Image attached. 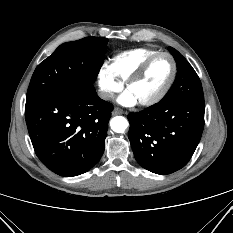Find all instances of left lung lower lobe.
<instances>
[{
    "label": "left lung lower lobe",
    "instance_id": "1",
    "mask_svg": "<svg viewBox=\"0 0 233 233\" xmlns=\"http://www.w3.org/2000/svg\"><path fill=\"white\" fill-rule=\"evenodd\" d=\"M205 103L201 98H180L128 115V137L137 162L160 175L184 167L203 132Z\"/></svg>",
    "mask_w": 233,
    "mask_h": 233
}]
</instances>
